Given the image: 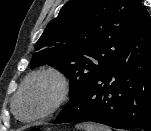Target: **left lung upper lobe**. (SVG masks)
<instances>
[{
  "label": "left lung upper lobe",
  "instance_id": "5c2ea615",
  "mask_svg": "<svg viewBox=\"0 0 151 131\" xmlns=\"http://www.w3.org/2000/svg\"><path fill=\"white\" fill-rule=\"evenodd\" d=\"M141 6V0L68 1L37 41L30 67H56L69 78L73 98L124 56Z\"/></svg>",
  "mask_w": 151,
  "mask_h": 131
}]
</instances>
